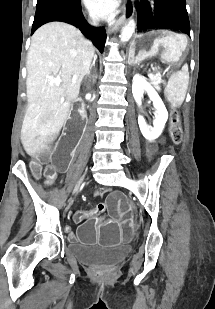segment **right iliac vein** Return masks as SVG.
Returning <instances> with one entry per match:
<instances>
[{"label": "right iliac vein", "instance_id": "1", "mask_svg": "<svg viewBox=\"0 0 215 309\" xmlns=\"http://www.w3.org/2000/svg\"><path fill=\"white\" fill-rule=\"evenodd\" d=\"M80 185H81V181L78 182V183L76 184L73 193H75L76 191H78V189L80 188Z\"/></svg>", "mask_w": 215, "mask_h": 309}]
</instances>
